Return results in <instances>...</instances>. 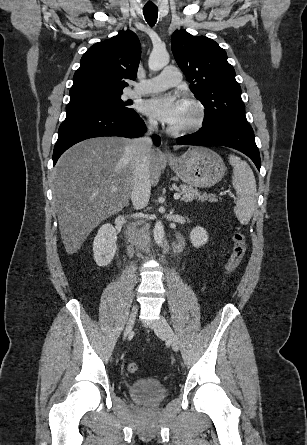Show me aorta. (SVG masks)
I'll return each mask as SVG.
<instances>
[{"label":"aorta","instance_id":"obj_1","mask_svg":"<svg viewBox=\"0 0 307 445\" xmlns=\"http://www.w3.org/2000/svg\"><path fill=\"white\" fill-rule=\"evenodd\" d=\"M170 60L169 52H167L165 46H158L153 48L149 58L148 66L150 70H161L163 66H166ZM154 241L157 245H161L164 241V225L162 220H156L154 225Z\"/></svg>","mask_w":307,"mask_h":445}]
</instances>
